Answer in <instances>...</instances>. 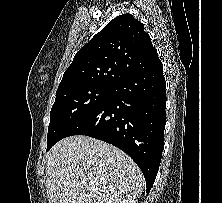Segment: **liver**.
<instances>
[{
  "label": "liver",
  "mask_w": 222,
  "mask_h": 203,
  "mask_svg": "<svg viewBox=\"0 0 222 203\" xmlns=\"http://www.w3.org/2000/svg\"><path fill=\"white\" fill-rule=\"evenodd\" d=\"M144 184L127 154L88 136L62 139L46 156L50 203H126L141 195Z\"/></svg>",
  "instance_id": "1"
}]
</instances>
